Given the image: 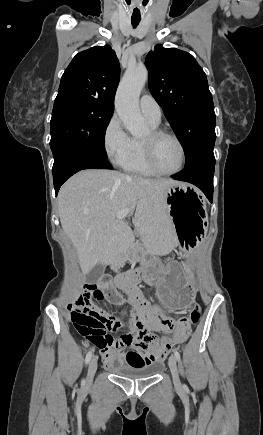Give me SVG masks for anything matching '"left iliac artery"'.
<instances>
[{"label":"left iliac artery","instance_id":"1","mask_svg":"<svg viewBox=\"0 0 263 435\" xmlns=\"http://www.w3.org/2000/svg\"><path fill=\"white\" fill-rule=\"evenodd\" d=\"M174 355L176 357V359L179 361L180 360V354L177 350L174 351Z\"/></svg>","mask_w":263,"mask_h":435}]
</instances>
